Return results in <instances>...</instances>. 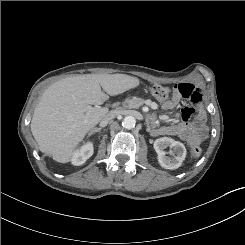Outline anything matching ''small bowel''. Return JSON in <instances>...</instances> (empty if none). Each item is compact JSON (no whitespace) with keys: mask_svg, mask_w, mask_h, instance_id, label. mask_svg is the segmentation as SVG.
I'll use <instances>...</instances> for the list:
<instances>
[{"mask_svg":"<svg viewBox=\"0 0 245 245\" xmlns=\"http://www.w3.org/2000/svg\"><path fill=\"white\" fill-rule=\"evenodd\" d=\"M204 92L201 87L193 83H181L176 85L171 99L163 104V109L172 110L185 98L194 104L202 101ZM194 115L192 121L190 118ZM151 132L155 136L173 135L186 141L189 145L195 146L203 143L207 138L206 113L201 106L196 109L185 107L180 113V122L170 126H158L154 119L150 121Z\"/></svg>","mask_w":245,"mask_h":245,"instance_id":"obj_1","label":"small bowel"}]
</instances>
